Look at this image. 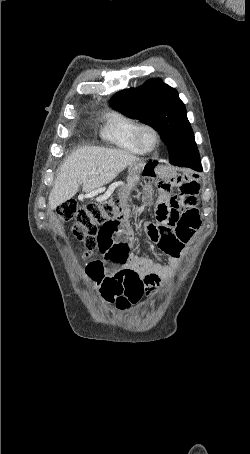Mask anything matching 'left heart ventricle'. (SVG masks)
Listing matches in <instances>:
<instances>
[{"mask_svg": "<svg viewBox=\"0 0 250 454\" xmlns=\"http://www.w3.org/2000/svg\"><path fill=\"white\" fill-rule=\"evenodd\" d=\"M142 139H143V142L144 144L147 146V147H152L153 144H154V136L153 134L150 132V131H144L143 135H142Z\"/></svg>", "mask_w": 250, "mask_h": 454, "instance_id": "1", "label": "left heart ventricle"}]
</instances>
